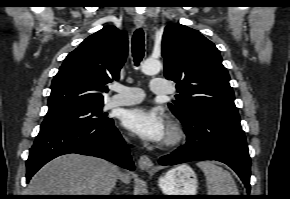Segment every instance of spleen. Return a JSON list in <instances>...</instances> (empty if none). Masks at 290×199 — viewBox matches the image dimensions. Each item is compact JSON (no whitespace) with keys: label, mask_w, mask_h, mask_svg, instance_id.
<instances>
[{"label":"spleen","mask_w":290,"mask_h":199,"mask_svg":"<svg viewBox=\"0 0 290 199\" xmlns=\"http://www.w3.org/2000/svg\"><path fill=\"white\" fill-rule=\"evenodd\" d=\"M206 177L208 195H238L231 174L211 161L197 163Z\"/></svg>","instance_id":"1"}]
</instances>
